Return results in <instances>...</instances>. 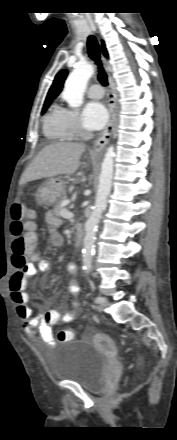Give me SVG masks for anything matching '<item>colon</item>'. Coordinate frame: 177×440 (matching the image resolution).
I'll return each instance as SVG.
<instances>
[{"label": "colon", "mask_w": 177, "mask_h": 440, "mask_svg": "<svg viewBox=\"0 0 177 440\" xmlns=\"http://www.w3.org/2000/svg\"><path fill=\"white\" fill-rule=\"evenodd\" d=\"M11 234L12 240V261L17 268H24L30 262V257L35 255L37 235L33 222V213L27 210L23 202L18 201L11 208ZM74 337L70 329L60 330L57 339L60 342H67Z\"/></svg>", "instance_id": "obj_1"}]
</instances>
